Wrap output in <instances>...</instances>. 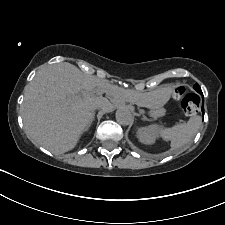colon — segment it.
I'll use <instances>...</instances> for the list:
<instances>
[{
	"label": "colon",
	"mask_w": 225,
	"mask_h": 225,
	"mask_svg": "<svg viewBox=\"0 0 225 225\" xmlns=\"http://www.w3.org/2000/svg\"><path fill=\"white\" fill-rule=\"evenodd\" d=\"M173 97L179 100V109L186 115H195L199 113L201 105L200 99L194 94H186V87L177 84L173 88Z\"/></svg>",
	"instance_id": "1"
}]
</instances>
